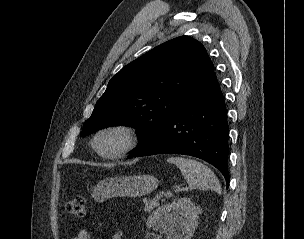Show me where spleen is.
<instances>
[{
	"label": "spleen",
	"mask_w": 304,
	"mask_h": 239,
	"mask_svg": "<svg viewBox=\"0 0 304 239\" xmlns=\"http://www.w3.org/2000/svg\"><path fill=\"white\" fill-rule=\"evenodd\" d=\"M167 161L180 169L191 188L221 192V186L215 174L203 163L183 157H171Z\"/></svg>",
	"instance_id": "spleen-1"
}]
</instances>
